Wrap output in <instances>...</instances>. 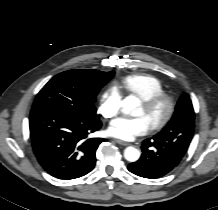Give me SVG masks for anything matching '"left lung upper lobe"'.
<instances>
[{"instance_id":"obj_1","label":"left lung upper lobe","mask_w":218,"mask_h":210,"mask_svg":"<svg viewBox=\"0 0 218 210\" xmlns=\"http://www.w3.org/2000/svg\"><path fill=\"white\" fill-rule=\"evenodd\" d=\"M194 118L192 102L188 94L184 93L177 103L171 120L153 138L166 141L168 146L176 144L188 149L194 132Z\"/></svg>"}]
</instances>
